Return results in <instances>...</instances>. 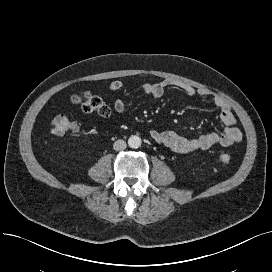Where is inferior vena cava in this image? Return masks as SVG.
I'll list each match as a JSON object with an SVG mask.
<instances>
[{"instance_id":"inferior-vena-cava-1","label":"inferior vena cava","mask_w":272,"mask_h":272,"mask_svg":"<svg viewBox=\"0 0 272 272\" xmlns=\"http://www.w3.org/2000/svg\"><path fill=\"white\" fill-rule=\"evenodd\" d=\"M126 147H127V144L124 140H117L113 144V148L116 151L124 150V149H126Z\"/></svg>"}]
</instances>
